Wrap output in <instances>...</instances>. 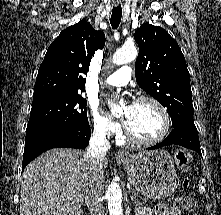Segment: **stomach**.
Instances as JSON below:
<instances>
[{
	"mask_svg": "<svg viewBox=\"0 0 221 215\" xmlns=\"http://www.w3.org/2000/svg\"><path fill=\"white\" fill-rule=\"evenodd\" d=\"M128 180L147 198L161 200L177 188V174L172 156L165 150L143 151L118 159Z\"/></svg>",
	"mask_w": 221,
	"mask_h": 215,
	"instance_id": "1",
	"label": "stomach"
}]
</instances>
